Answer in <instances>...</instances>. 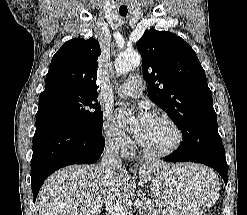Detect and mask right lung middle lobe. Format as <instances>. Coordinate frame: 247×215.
<instances>
[{
  "instance_id": "dd1d6c3e",
  "label": "right lung middle lobe",
  "mask_w": 247,
  "mask_h": 215,
  "mask_svg": "<svg viewBox=\"0 0 247 215\" xmlns=\"http://www.w3.org/2000/svg\"><path fill=\"white\" fill-rule=\"evenodd\" d=\"M97 96L67 88L47 90L39 98L37 115H57L92 130H101L103 115Z\"/></svg>"
}]
</instances>
